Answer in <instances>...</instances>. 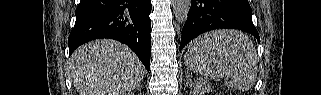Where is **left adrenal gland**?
<instances>
[{
    "instance_id": "a2214340",
    "label": "left adrenal gland",
    "mask_w": 321,
    "mask_h": 95,
    "mask_svg": "<svg viewBox=\"0 0 321 95\" xmlns=\"http://www.w3.org/2000/svg\"><path fill=\"white\" fill-rule=\"evenodd\" d=\"M187 85H188V86H191V85H190V82H189L188 80H187Z\"/></svg>"
}]
</instances>
